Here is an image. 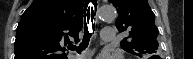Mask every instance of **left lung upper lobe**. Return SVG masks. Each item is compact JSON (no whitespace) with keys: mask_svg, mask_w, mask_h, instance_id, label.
Returning <instances> with one entry per match:
<instances>
[{"mask_svg":"<svg viewBox=\"0 0 193 59\" xmlns=\"http://www.w3.org/2000/svg\"><path fill=\"white\" fill-rule=\"evenodd\" d=\"M118 10L116 27L119 32H128L129 36L121 41L127 52L142 57V54H154L158 50V29L154 24V13L148 0H109ZM155 57H158L154 55Z\"/></svg>","mask_w":193,"mask_h":59,"instance_id":"obj_1","label":"left lung upper lobe"}]
</instances>
